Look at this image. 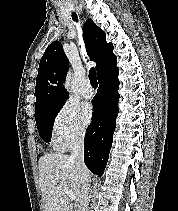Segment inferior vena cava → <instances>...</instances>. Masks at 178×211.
Listing matches in <instances>:
<instances>
[{
	"instance_id": "obj_1",
	"label": "inferior vena cava",
	"mask_w": 178,
	"mask_h": 211,
	"mask_svg": "<svg viewBox=\"0 0 178 211\" xmlns=\"http://www.w3.org/2000/svg\"><path fill=\"white\" fill-rule=\"evenodd\" d=\"M84 136H85V132L80 131L72 139L71 144H70V150H71L70 158L73 159L77 167L82 172L85 173L87 171V168L84 164ZM89 189H90V177L88 175H85L84 182L82 185V197H83L82 211H88Z\"/></svg>"
}]
</instances>
